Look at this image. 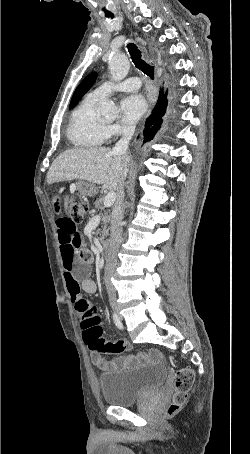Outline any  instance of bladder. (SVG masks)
Masks as SVG:
<instances>
[{"label":"bladder","mask_w":250,"mask_h":454,"mask_svg":"<svg viewBox=\"0 0 250 454\" xmlns=\"http://www.w3.org/2000/svg\"><path fill=\"white\" fill-rule=\"evenodd\" d=\"M164 380V367L151 364L104 373L99 377V389L105 403L127 407L160 389Z\"/></svg>","instance_id":"1"}]
</instances>
